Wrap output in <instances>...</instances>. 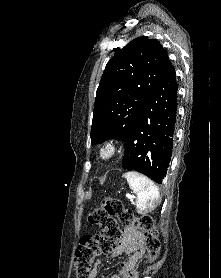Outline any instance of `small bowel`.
Listing matches in <instances>:
<instances>
[{
	"label": "small bowel",
	"mask_w": 221,
	"mask_h": 278,
	"mask_svg": "<svg viewBox=\"0 0 221 278\" xmlns=\"http://www.w3.org/2000/svg\"><path fill=\"white\" fill-rule=\"evenodd\" d=\"M122 253L130 255V257L121 263L119 273L112 278H137L134 267L144 255L143 236L137 229L124 227L121 240L108 257H116ZM100 264L101 261L95 263L89 278H98Z\"/></svg>",
	"instance_id": "c3829d8e"
}]
</instances>
